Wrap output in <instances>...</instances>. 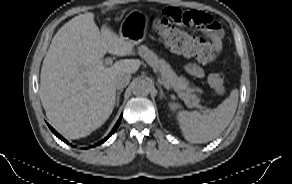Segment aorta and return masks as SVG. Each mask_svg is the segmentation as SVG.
Returning a JSON list of instances; mask_svg holds the SVG:
<instances>
[{
	"mask_svg": "<svg viewBox=\"0 0 292 184\" xmlns=\"http://www.w3.org/2000/svg\"><path fill=\"white\" fill-rule=\"evenodd\" d=\"M150 83L142 78H137L132 83V93L136 96H147L150 93Z\"/></svg>",
	"mask_w": 292,
	"mask_h": 184,
	"instance_id": "1",
	"label": "aorta"
}]
</instances>
